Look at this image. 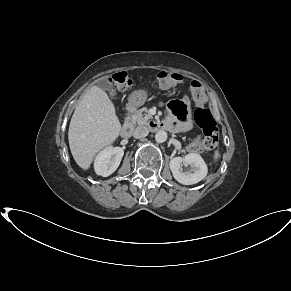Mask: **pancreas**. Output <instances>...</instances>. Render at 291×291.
I'll list each match as a JSON object with an SVG mask.
<instances>
[{"label":"pancreas","instance_id":"pancreas-1","mask_svg":"<svg viewBox=\"0 0 291 291\" xmlns=\"http://www.w3.org/2000/svg\"><path fill=\"white\" fill-rule=\"evenodd\" d=\"M151 118L152 117L148 114V108L143 107L132 115L131 121L134 124L147 125Z\"/></svg>","mask_w":291,"mask_h":291}]
</instances>
